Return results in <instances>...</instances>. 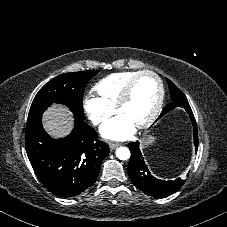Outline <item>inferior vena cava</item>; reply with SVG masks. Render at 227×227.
<instances>
[{
	"mask_svg": "<svg viewBox=\"0 0 227 227\" xmlns=\"http://www.w3.org/2000/svg\"><path fill=\"white\" fill-rule=\"evenodd\" d=\"M100 121L99 120H96L94 124H98Z\"/></svg>",
	"mask_w": 227,
	"mask_h": 227,
	"instance_id": "inferior-vena-cava-1",
	"label": "inferior vena cava"
}]
</instances>
